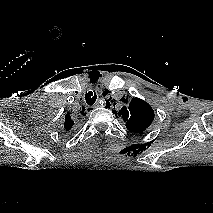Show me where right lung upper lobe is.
<instances>
[{"label": "right lung upper lobe", "instance_id": "1", "mask_svg": "<svg viewBox=\"0 0 213 213\" xmlns=\"http://www.w3.org/2000/svg\"><path fill=\"white\" fill-rule=\"evenodd\" d=\"M74 125V122L73 120L71 119L70 115H69V112L66 114V117H65V122H64V129L66 131H69L71 130V128L73 127Z\"/></svg>", "mask_w": 213, "mask_h": 213}]
</instances>
